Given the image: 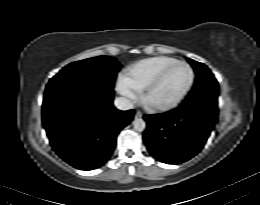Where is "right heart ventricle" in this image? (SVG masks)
<instances>
[{
  "instance_id": "1",
  "label": "right heart ventricle",
  "mask_w": 260,
  "mask_h": 205,
  "mask_svg": "<svg viewBox=\"0 0 260 205\" xmlns=\"http://www.w3.org/2000/svg\"><path fill=\"white\" fill-rule=\"evenodd\" d=\"M178 61L170 56H155L143 59L134 64L123 76V79L134 89L141 91L148 82L164 67Z\"/></svg>"
}]
</instances>
